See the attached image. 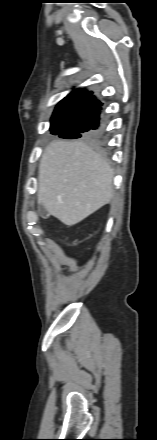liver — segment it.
Listing matches in <instances>:
<instances>
[{
    "label": "liver",
    "instance_id": "obj_1",
    "mask_svg": "<svg viewBox=\"0 0 157 440\" xmlns=\"http://www.w3.org/2000/svg\"><path fill=\"white\" fill-rule=\"evenodd\" d=\"M113 177L109 163L87 144L54 141L41 157L38 202L73 226L112 200Z\"/></svg>",
    "mask_w": 157,
    "mask_h": 440
}]
</instances>
